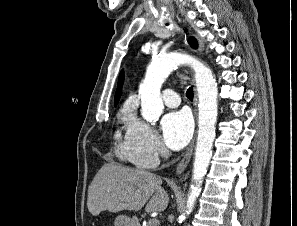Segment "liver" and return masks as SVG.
Listing matches in <instances>:
<instances>
[{
	"instance_id": "1",
	"label": "liver",
	"mask_w": 297,
	"mask_h": 226,
	"mask_svg": "<svg viewBox=\"0 0 297 226\" xmlns=\"http://www.w3.org/2000/svg\"><path fill=\"white\" fill-rule=\"evenodd\" d=\"M162 180L154 173L104 164L92 180L88 190L87 207L93 216L102 211H163L169 196L161 187Z\"/></svg>"
}]
</instances>
